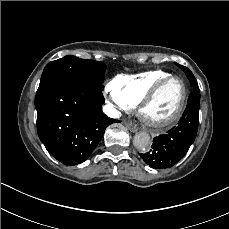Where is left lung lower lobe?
<instances>
[{"label":"left lung lower lobe","instance_id":"obj_1","mask_svg":"<svg viewBox=\"0 0 229 229\" xmlns=\"http://www.w3.org/2000/svg\"><path fill=\"white\" fill-rule=\"evenodd\" d=\"M185 73L191 83L192 92L178 125L170 129L167 134L155 137L152 149L145 154H140L145 163L154 169L169 168L179 162L197 134L200 90L192 72L187 69Z\"/></svg>","mask_w":229,"mask_h":229}]
</instances>
